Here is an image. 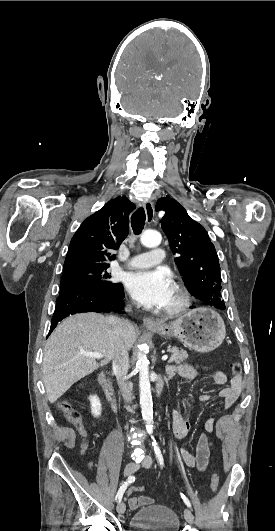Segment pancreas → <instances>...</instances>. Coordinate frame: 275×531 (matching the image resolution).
<instances>
[{"label": "pancreas", "instance_id": "obj_1", "mask_svg": "<svg viewBox=\"0 0 275 531\" xmlns=\"http://www.w3.org/2000/svg\"><path fill=\"white\" fill-rule=\"evenodd\" d=\"M167 353H171V357L168 361V363H176V365H179V363H183L185 359H188L187 351H184V349H177V347H167Z\"/></svg>", "mask_w": 275, "mask_h": 531}]
</instances>
